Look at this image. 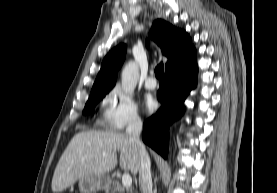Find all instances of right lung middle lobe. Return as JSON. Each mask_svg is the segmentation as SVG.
<instances>
[{
  "label": "right lung middle lobe",
  "instance_id": "dd1d6c3e",
  "mask_svg": "<svg viewBox=\"0 0 277 193\" xmlns=\"http://www.w3.org/2000/svg\"><path fill=\"white\" fill-rule=\"evenodd\" d=\"M108 93V91L104 92H97L90 94V97L88 99V102L85 105V108L83 110V114L89 113L95 106L96 104Z\"/></svg>",
  "mask_w": 277,
  "mask_h": 193
}]
</instances>
